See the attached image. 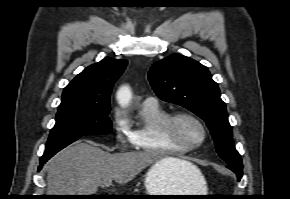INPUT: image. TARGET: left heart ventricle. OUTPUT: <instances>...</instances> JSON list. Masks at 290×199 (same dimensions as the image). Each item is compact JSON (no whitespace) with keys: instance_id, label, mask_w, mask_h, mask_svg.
Wrapping results in <instances>:
<instances>
[{"instance_id":"b2bd125f","label":"left heart ventricle","mask_w":290,"mask_h":199,"mask_svg":"<svg viewBox=\"0 0 290 199\" xmlns=\"http://www.w3.org/2000/svg\"><path fill=\"white\" fill-rule=\"evenodd\" d=\"M175 132L182 140L189 144H195L202 138L201 128L196 123L187 119L179 120L176 123ZM164 139L166 138L164 137Z\"/></svg>"}]
</instances>
